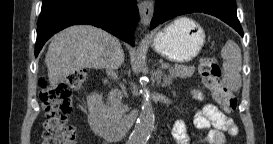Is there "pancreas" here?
Here are the masks:
<instances>
[{"label":"pancreas","instance_id":"pancreas-1","mask_svg":"<svg viewBox=\"0 0 273 144\" xmlns=\"http://www.w3.org/2000/svg\"><path fill=\"white\" fill-rule=\"evenodd\" d=\"M195 71L194 67H188L184 65H175L169 68V73L172 78H190ZM122 94L116 90L111 91L108 95V102L106 106V114L110 119L119 120L123 113L127 110L122 102Z\"/></svg>","mask_w":273,"mask_h":144}]
</instances>
